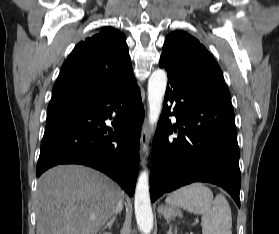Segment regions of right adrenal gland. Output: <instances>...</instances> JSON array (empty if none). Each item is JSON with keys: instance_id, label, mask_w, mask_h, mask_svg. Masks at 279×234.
Listing matches in <instances>:
<instances>
[{"instance_id": "2a0ac1e0", "label": "right adrenal gland", "mask_w": 279, "mask_h": 234, "mask_svg": "<svg viewBox=\"0 0 279 234\" xmlns=\"http://www.w3.org/2000/svg\"><path fill=\"white\" fill-rule=\"evenodd\" d=\"M115 220H116V215H114V216L110 219V221L104 226L103 229H106V228L111 229V227H112V225L114 224Z\"/></svg>"}]
</instances>
